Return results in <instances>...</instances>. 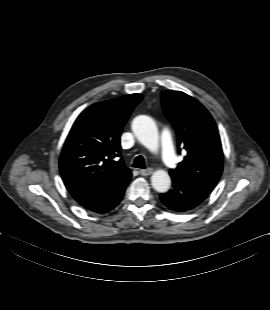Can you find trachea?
Wrapping results in <instances>:
<instances>
[{
  "label": "trachea",
  "mask_w": 270,
  "mask_h": 310,
  "mask_svg": "<svg viewBox=\"0 0 270 310\" xmlns=\"http://www.w3.org/2000/svg\"><path fill=\"white\" fill-rule=\"evenodd\" d=\"M132 166L135 168L145 169L146 165H145V160H144L143 156H141V155L137 156L134 159Z\"/></svg>",
  "instance_id": "trachea-1"
}]
</instances>
